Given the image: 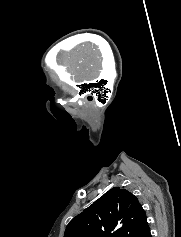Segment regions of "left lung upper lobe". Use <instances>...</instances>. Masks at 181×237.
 I'll use <instances>...</instances> for the list:
<instances>
[{
    "instance_id": "obj_1",
    "label": "left lung upper lobe",
    "mask_w": 181,
    "mask_h": 237,
    "mask_svg": "<svg viewBox=\"0 0 181 237\" xmlns=\"http://www.w3.org/2000/svg\"><path fill=\"white\" fill-rule=\"evenodd\" d=\"M148 227L135 195L114 187L74 217L64 237H139Z\"/></svg>"
}]
</instances>
